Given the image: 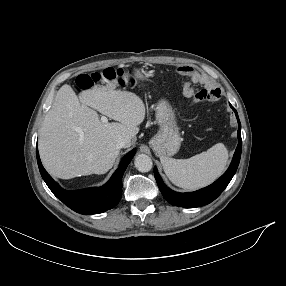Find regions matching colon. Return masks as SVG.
I'll list each match as a JSON object with an SVG mask.
<instances>
[{
    "mask_svg": "<svg viewBox=\"0 0 286 286\" xmlns=\"http://www.w3.org/2000/svg\"><path fill=\"white\" fill-rule=\"evenodd\" d=\"M122 71L114 67H107L100 72L84 73L77 77V86L80 90H88L103 80H112L122 76ZM206 97H209L207 94ZM196 101H204L205 96L199 92L195 95Z\"/></svg>",
    "mask_w": 286,
    "mask_h": 286,
    "instance_id": "1",
    "label": "colon"
}]
</instances>
